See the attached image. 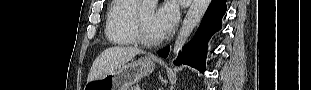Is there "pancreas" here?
Listing matches in <instances>:
<instances>
[{"mask_svg": "<svg viewBox=\"0 0 311 90\" xmlns=\"http://www.w3.org/2000/svg\"><path fill=\"white\" fill-rule=\"evenodd\" d=\"M131 90H140L139 86H135L134 88H131Z\"/></svg>", "mask_w": 311, "mask_h": 90, "instance_id": "cf45deb5", "label": "pancreas"}]
</instances>
